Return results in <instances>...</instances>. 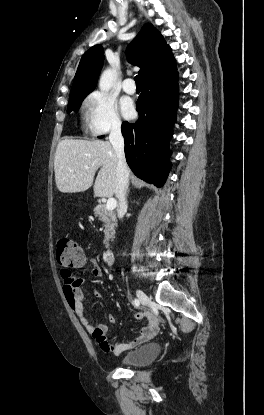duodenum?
Returning <instances> with one entry per match:
<instances>
[{
  "instance_id": "duodenum-1",
  "label": "duodenum",
  "mask_w": 264,
  "mask_h": 415,
  "mask_svg": "<svg viewBox=\"0 0 264 415\" xmlns=\"http://www.w3.org/2000/svg\"><path fill=\"white\" fill-rule=\"evenodd\" d=\"M104 262L108 266H113L114 264V252L112 249H107L104 253Z\"/></svg>"
}]
</instances>
